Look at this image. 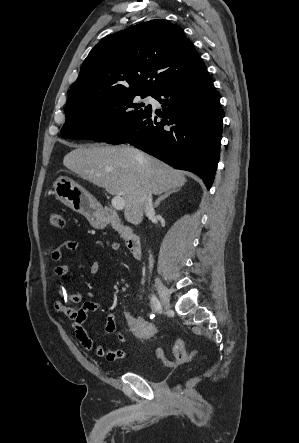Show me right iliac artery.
<instances>
[{
    "mask_svg": "<svg viewBox=\"0 0 299 443\" xmlns=\"http://www.w3.org/2000/svg\"><path fill=\"white\" fill-rule=\"evenodd\" d=\"M151 301H152V304H153L155 310H156L157 312L161 313V311H162V306H161V303H160V301L158 300V298H157L155 295H152V297H151Z\"/></svg>",
    "mask_w": 299,
    "mask_h": 443,
    "instance_id": "1",
    "label": "right iliac artery"
}]
</instances>
